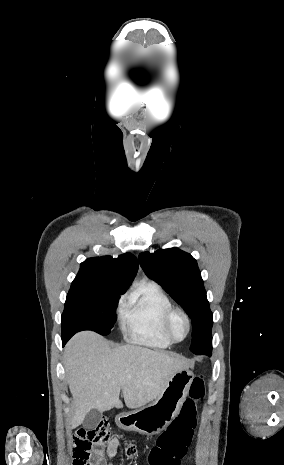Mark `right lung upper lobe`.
Returning a JSON list of instances; mask_svg holds the SVG:
<instances>
[{
    "mask_svg": "<svg viewBox=\"0 0 284 465\" xmlns=\"http://www.w3.org/2000/svg\"><path fill=\"white\" fill-rule=\"evenodd\" d=\"M138 271V261L130 253L114 259L111 256L88 258L80 265L73 282L100 285L124 293Z\"/></svg>",
    "mask_w": 284,
    "mask_h": 465,
    "instance_id": "1",
    "label": "right lung upper lobe"
}]
</instances>
